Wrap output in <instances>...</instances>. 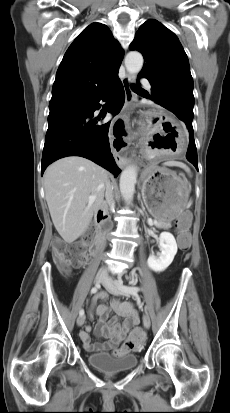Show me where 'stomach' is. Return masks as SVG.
Here are the masks:
<instances>
[{"mask_svg":"<svg viewBox=\"0 0 230 413\" xmlns=\"http://www.w3.org/2000/svg\"><path fill=\"white\" fill-rule=\"evenodd\" d=\"M142 198L148 212L159 222L174 220L187 206L189 187L183 178L163 167L144 171Z\"/></svg>","mask_w":230,"mask_h":413,"instance_id":"1","label":"stomach"}]
</instances>
